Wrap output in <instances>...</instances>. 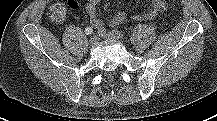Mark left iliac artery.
<instances>
[{"instance_id":"44dca946","label":"left iliac artery","mask_w":217,"mask_h":121,"mask_svg":"<svg viewBox=\"0 0 217 121\" xmlns=\"http://www.w3.org/2000/svg\"><path fill=\"white\" fill-rule=\"evenodd\" d=\"M113 33L115 35H117L119 38H123L124 37V33L122 31H119L118 29H114Z\"/></svg>"}]
</instances>
